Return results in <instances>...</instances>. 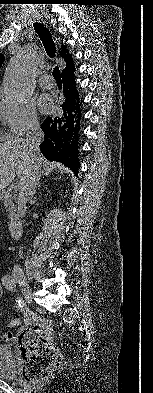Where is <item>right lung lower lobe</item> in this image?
Masks as SVG:
<instances>
[{"label":"right lung lower lobe","instance_id":"98d812e1","mask_svg":"<svg viewBox=\"0 0 153 393\" xmlns=\"http://www.w3.org/2000/svg\"><path fill=\"white\" fill-rule=\"evenodd\" d=\"M74 71L75 69H72L62 74L63 114L54 118L47 117L41 124L45 136L40 149L46 158L64 163L77 174L79 168L77 137L80 132L81 110L74 82Z\"/></svg>","mask_w":153,"mask_h":393}]
</instances>
